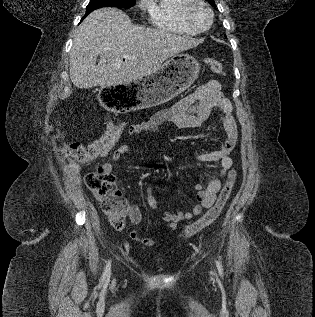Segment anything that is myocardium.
<instances>
[{"label":"myocardium","instance_id":"myocardium-1","mask_svg":"<svg viewBox=\"0 0 315 317\" xmlns=\"http://www.w3.org/2000/svg\"><path fill=\"white\" fill-rule=\"evenodd\" d=\"M197 6L204 7L209 15V22H208V25L206 27H203V28L198 27L196 25V23L194 22L193 11ZM183 18L189 27H191L193 30H195L198 33H203V32L208 31L211 28V26L213 24V20H214V14H213L211 7L209 6V4L206 1H204V0H189L188 4H186L184 9H183Z\"/></svg>","mask_w":315,"mask_h":317}]
</instances>
